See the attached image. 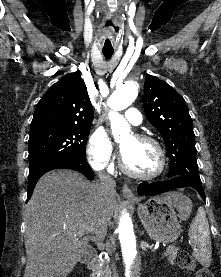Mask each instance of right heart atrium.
Wrapping results in <instances>:
<instances>
[{
	"mask_svg": "<svg viewBox=\"0 0 221 277\" xmlns=\"http://www.w3.org/2000/svg\"><path fill=\"white\" fill-rule=\"evenodd\" d=\"M86 155L91 167L100 172H111L115 153L114 146L108 134L103 130H95L90 135Z\"/></svg>",
	"mask_w": 221,
	"mask_h": 277,
	"instance_id": "1",
	"label": "right heart atrium"
}]
</instances>
